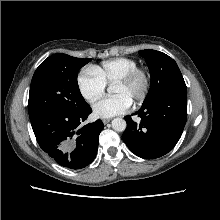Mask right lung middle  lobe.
Masks as SVG:
<instances>
[{
    "mask_svg": "<svg viewBox=\"0 0 220 220\" xmlns=\"http://www.w3.org/2000/svg\"><path fill=\"white\" fill-rule=\"evenodd\" d=\"M91 59L53 54L36 69L29 92L28 111L34 122L53 112L76 113L88 107L78 83V71Z\"/></svg>",
    "mask_w": 220,
    "mask_h": 220,
    "instance_id": "obj_1",
    "label": "right lung middle lobe"
}]
</instances>
